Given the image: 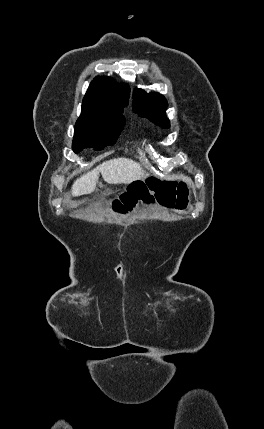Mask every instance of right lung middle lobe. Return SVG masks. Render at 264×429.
<instances>
[{
	"label": "right lung middle lobe",
	"mask_w": 264,
	"mask_h": 429,
	"mask_svg": "<svg viewBox=\"0 0 264 429\" xmlns=\"http://www.w3.org/2000/svg\"><path fill=\"white\" fill-rule=\"evenodd\" d=\"M125 106L82 104L81 115L75 125L73 151L93 147L102 150L113 145L124 125Z\"/></svg>",
	"instance_id": "right-lung-middle-lobe-1"
}]
</instances>
